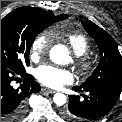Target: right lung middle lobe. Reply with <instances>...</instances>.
<instances>
[{"mask_svg":"<svg viewBox=\"0 0 122 122\" xmlns=\"http://www.w3.org/2000/svg\"><path fill=\"white\" fill-rule=\"evenodd\" d=\"M53 23L31 20L13 11L1 19V65L25 71L35 37Z\"/></svg>","mask_w":122,"mask_h":122,"instance_id":"dd1d6c3e","label":"right lung middle lobe"}]
</instances>
